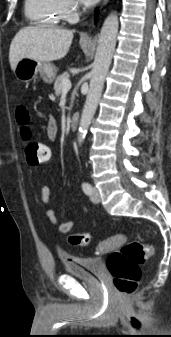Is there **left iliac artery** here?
<instances>
[{
    "instance_id": "left-iliac-artery-1",
    "label": "left iliac artery",
    "mask_w": 171,
    "mask_h": 337,
    "mask_svg": "<svg viewBox=\"0 0 171 337\" xmlns=\"http://www.w3.org/2000/svg\"><path fill=\"white\" fill-rule=\"evenodd\" d=\"M82 189L88 195L91 194L93 191L92 186L88 182L82 183Z\"/></svg>"
}]
</instances>
